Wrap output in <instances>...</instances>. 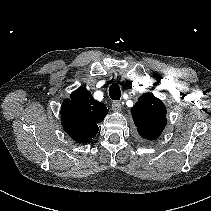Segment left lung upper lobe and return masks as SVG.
<instances>
[{
  "label": "left lung upper lobe",
  "instance_id": "5c2ea615",
  "mask_svg": "<svg viewBox=\"0 0 211 211\" xmlns=\"http://www.w3.org/2000/svg\"><path fill=\"white\" fill-rule=\"evenodd\" d=\"M131 113L138 133L148 140L157 139L167 123L165 105L150 93H145L138 99L131 108Z\"/></svg>",
  "mask_w": 211,
  "mask_h": 211
}]
</instances>
